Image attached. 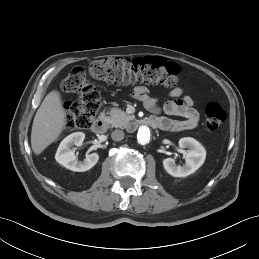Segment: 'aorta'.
Listing matches in <instances>:
<instances>
[{
  "instance_id": "aorta-1",
  "label": "aorta",
  "mask_w": 259,
  "mask_h": 259,
  "mask_svg": "<svg viewBox=\"0 0 259 259\" xmlns=\"http://www.w3.org/2000/svg\"><path fill=\"white\" fill-rule=\"evenodd\" d=\"M137 141L139 144L145 145L150 141L151 131L147 126H140L137 130Z\"/></svg>"
}]
</instances>
